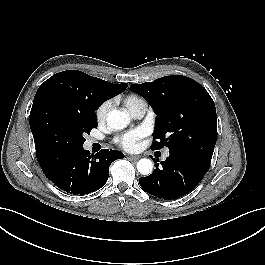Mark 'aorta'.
<instances>
[{
  "instance_id": "obj_1",
  "label": "aorta",
  "mask_w": 265,
  "mask_h": 265,
  "mask_svg": "<svg viewBox=\"0 0 265 265\" xmlns=\"http://www.w3.org/2000/svg\"><path fill=\"white\" fill-rule=\"evenodd\" d=\"M130 123V117L127 113L120 110H112L107 115V124L115 130H122ZM137 170L142 175H150L153 171V163L150 159L143 158L137 162Z\"/></svg>"
}]
</instances>
